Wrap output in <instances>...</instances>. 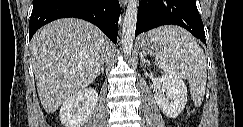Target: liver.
<instances>
[{"mask_svg": "<svg viewBox=\"0 0 243 127\" xmlns=\"http://www.w3.org/2000/svg\"><path fill=\"white\" fill-rule=\"evenodd\" d=\"M108 45L101 30L76 18L53 21L35 33L30 42L32 65L47 113L95 80Z\"/></svg>", "mask_w": 243, "mask_h": 127, "instance_id": "liver-1", "label": "liver"}]
</instances>
